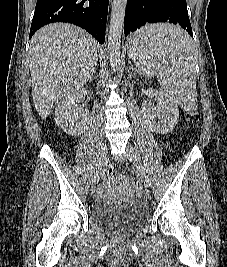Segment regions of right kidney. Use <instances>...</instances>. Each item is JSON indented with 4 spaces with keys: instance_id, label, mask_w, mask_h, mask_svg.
Segmentation results:
<instances>
[{
    "instance_id": "1",
    "label": "right kidney",
    "mask_w": 227,
    "mask_h": 267,
    "mask_svg": "<svg viewBox=\"0 0 227 267\" xmlns=\"http://www.w3.org/2000/svg\"><path fill=\"white\" fill-rule=\"evenodd\" d=\"M87 95L86 88L65 96L55 109V122L66 134L81 135L89 120L87 110H79L78 104Z\"/></svg>"
}]
</instances>
